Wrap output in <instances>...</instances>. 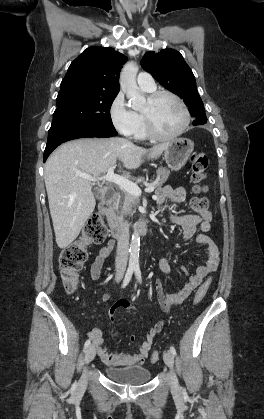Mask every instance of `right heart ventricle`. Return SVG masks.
Instances as JSON below:
<instances>
[{"label":"right heart ventricle","instance_id":"right-heart-ventricle-1","mask_svg":"<svg viewBox=\"0 0 264 419\" xmlns=\"http://www.w3.org/2000/svg\"><path fill=\"white\" fill-rule=\"evenodd\" d=\"M142 90L146 93H151V92L154 91V89H152V90L142 89ZM135 113H136V116H137L138 124H137V129H136V132H135L134 136L137 139H146L148 137V134H147V130H146V125H145V120H144L143 113H142V111H137Z\"/></svg>","mask_w":264,"mask_h":419}]
</instances>
